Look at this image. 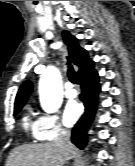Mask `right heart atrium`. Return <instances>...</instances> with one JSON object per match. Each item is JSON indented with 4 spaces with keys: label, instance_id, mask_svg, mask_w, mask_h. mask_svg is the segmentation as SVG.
Returning a JSON list of instances; mask_svg holds the SVG:
<instances>
[{
    "label": "right heart atrium",
    "instance_id": "obj_1",
    "mask_svg": "<svg viewBox=\"0 0 135 166\" xmlns=\"http://www.w3.org/2000/svg\"><path fill=\"white\" fill-rule=\"evenodd\" d=\"M66 134L56 114H43L37 120V139L41 141L58 139Z\"/></svg>",
    "mask_w": 135,
    "mask_h": 166
}]
</instances>
